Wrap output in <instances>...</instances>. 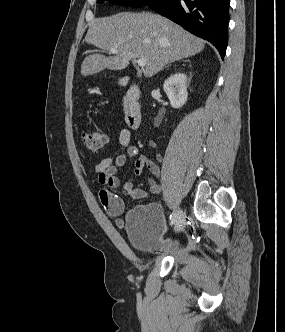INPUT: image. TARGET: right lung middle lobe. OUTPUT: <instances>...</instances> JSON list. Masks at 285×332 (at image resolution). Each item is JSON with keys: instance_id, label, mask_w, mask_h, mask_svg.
<instances>
[{"instance_id": "dd1d6c3e", "label": "right lung middle lobe", "mask_w": 285, "mask_h": 332, "mask_svg": "<svg viewBox=\"0 0 285 332\" xmlns=\"http://www.w3.org/2000/svg\"><path fill=\"white\" fill-rule=\"evenodd\" d=\"M99 3L104 2L105 0H97ZM113 4H120L123 6H132V7H142L147 6L153 0H109Z\"/></svg>"}]
</instances>
